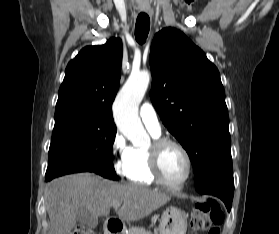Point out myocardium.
Wrapping results in <instances>:
<instances>
[{
  "label": "myocardium",
  "instance_id": "1",
  "mask_svg": "<svg viewBox=\"0 0 279 234\" xmlns=\"http://www.w3.org/2000/svg\"><path fill=\"white\" fill-rule=\"evenodd\" d=\"M173 145L177 147L184 155L187 163V171L184 178L178 183L169 182L163 175L161 168V157L166 146ZM150 150V168L156 181L171 189L179 190L190 180L193 172V160L188 149L180 141L169 137H157L149 146Z\"/></svg>",
  "mask_w": 279,
  "mask_h": 234
}]
</instances>
